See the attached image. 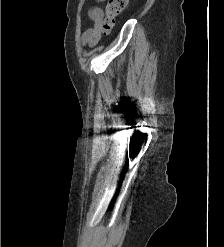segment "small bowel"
<instances>
[{"label":"small bowel","instance_id":"small-bowel-1","mask_svg":"<svg viewBox=\"0 0 224 247\" xmlns=\"http://www.w3.org/2000/svg\"><path fill=\"white\" fill-rule=\"evenodd\" d=\"M89 15L94 22V26L85 32L83 42L89 46H93L100 38L102 11L99 8H94L90 11Z\"/></svg>","mask_w":224,"mask_h":247}]
</instances>
